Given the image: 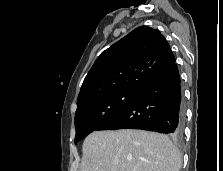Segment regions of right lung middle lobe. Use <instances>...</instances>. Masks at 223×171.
Returning <instances> with one entry per match:
<instances>
[{"label": "right lung middle lobe", "mask_w": 223, "mask_h": 171, "mask_svg": "<svg viewBox=\"0 0 223 171\" xmlns=\"http://www.w3.org/2000/svg\"><path fill=\"white\" fill-rule=\"evenodd\" d=\"M138 92L110 93L78 108L75 113V144L119 114Z\"/></svg>", "instance_id": "obj_1"}]
</instances>
